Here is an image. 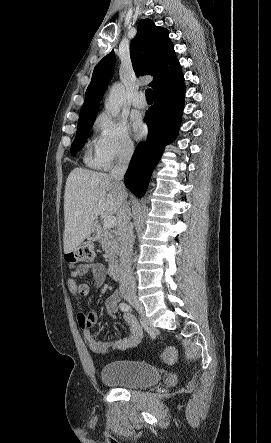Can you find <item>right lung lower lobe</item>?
I'll list each match as a JSON object with an SVG mask.
<instances>
[{"mask_svg":"<svg viewBox=\"0 0 271 443\" xmlns=\"http://www.w3.org/2000/svg\"><path fill=\"white\" fill-rule=\"evenodd\" d=\"M184 77L172 85L153 92L154 104L145 115L149 128L147 140L140 142L125 174V184L137 197H142L151 173L164 146L177 135L185 97Z\"/></svg>","mask_w":271,"mask_h":443,"instance_id":"1","label":"right lung lower lobe"}]
</instances>
